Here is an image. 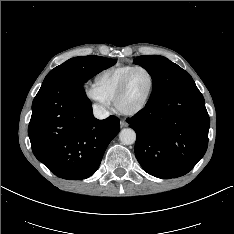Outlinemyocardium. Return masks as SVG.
<instances>
[{
  "instance_id": "myocardium-1",
  "label": "myocardium",
  "mask_w": 234,
  "mask_h": 234,
  "mask_svg": "<svg viewBox=\"0 0 234 234\" xmlns=\"http://www.w3.org/2000/svg\"><path fill=\"white\" fill-rule=\"evenodd\" d=\"M138 70L146 71L150 77V87H149L148 93H147L145 99L143 100V102L139 106H137L133 109H130V110L122 109L120 107V100L127 90L131 76L133 75L134 72H136ZM154 88H155V76H154L153 72L145 66H135L125 75V77L123 78L122 82L120 83V85H119V87L114 95L113 104H114L116 111L119 112L120 114L126 115V116H133V115L140 113L142 110H144L146 108V106L150 102L151 97H152L153 92H154Z\"/></svg>"
}]
</instances>
